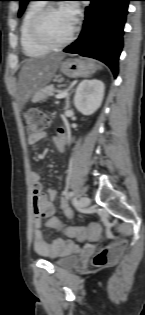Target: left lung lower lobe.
Returning a JSON list of instances; mask_svg holds the SVG:
<instances>
[{"instance_id": "0a47b994", "label": "left lung lower lobe", "mask_w": 145, "mask_h": 315, "mask_svg": "<svg viewBox=\"0 0 145 315\" xmlns=\"http://www.w3.org/2000/svg\"><path fill=\"white\" fill-rule=\"evenodd\" d=\"M88 1L91 5L85 9L83 30L64 52L98 59L108 65L116 77L123 47V28L131 0Z\"/></svg>"}]
</instances>
